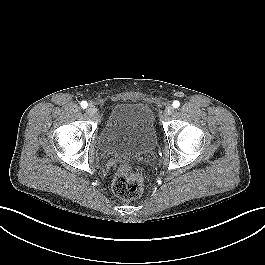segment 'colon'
<instances>
[{
	"label": "colon",
	"mask_w": 265,
	"mask_h": 265,
	"mask_svg": "<svg viewBox=\"0 0 265 265\" xmlns=\"http://www.w3.org/2000/svg\"><path fill=\"white\" fill-rule=\"evenodd\" d=\"M144 179L140 172L134 170L129 164L117 167L113 179L112 190L121 199L131 200L143 193Z\"/></svg>",
	"instance_id": "obj_1"
}]
</instances>
